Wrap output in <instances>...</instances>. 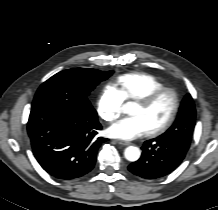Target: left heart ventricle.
I'll list each match as a JSON object with an SVG mask.
<instances>
[{"label": "left heart ventricle", "instance_id": "b2bd125f", "mask_svg": "<svg viewBox=\"0 0 218 210\" xmlns=\"http://www.w3.org/2000/svg\"><path fill=\"white\" fill-rule=\"evenodd\" d=\"M171 109L172 98L169 94H166L159 98L150 107H144L137 103L132 111V115L141 117L150 131L166 121L171 112Z\"/></svg>", "mask_w": 218, "mask_h": 210}]
</instances>
